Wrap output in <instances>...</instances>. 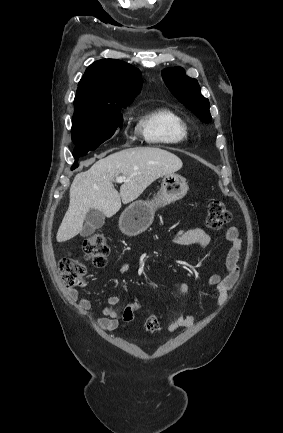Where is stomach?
<instances>
[{"label":"stomach","instance_id":"obj_1","mask_svg":"<svg viewBox=\"0 0 283 433\" xmlns=\"http://www.w3.org/2000/svg\"><path fill=\"white\" fill-rule=\"evenodd\" d=\"M187 190L188 184L184 176L175 174V172L164 174L161 188L152 200H135L123 210L120 219H123L122 225L125 235H129V237L139 235L147 223L153 221L156 208L183 198Z\"/></svg>","mask_w":283,"mask_h":433}]
</instances>
